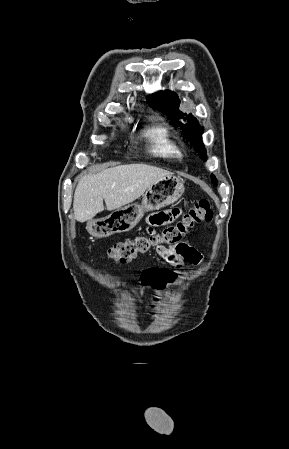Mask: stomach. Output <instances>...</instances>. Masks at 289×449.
Listing matches in <instances>:
<instances>
[{"label":"stomach","mask_w":289,"mask_h":449,"mask_svg":"<svg viewBox=\"0 0 289 449\" xmlns=\"http://www.w3.org/2000/svg\"><path fill=\"white\" fill-rule=\"evenodd\" d=\"M184 181L177 176H165L154 182L143 195L141 204L123 206L104 218L91 219L86 229L96 238L133 229L145 212L159 210L176 202L184 193Z\"/></svg>","instance_id":"obj_1"}]
</instances>
